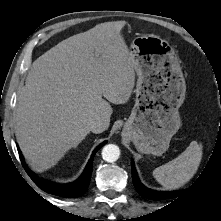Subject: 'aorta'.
<instances>
[{"label": "aorta", "instance_id": "762f6f07", "mask_svg": "<svg viewBox=\"0 0 221 221\" xmlns=\"http://www.w3.org/2000/svg\"><path fill=\"white\" fill-rule=\"evenodd\" d=\"M120 156V150L119 147L114 144H108L106 145L102 150V158L106 162H115L118 160Z\"/></svg>", "mask_w": 221, "mask_h": 221}]
</instances>
